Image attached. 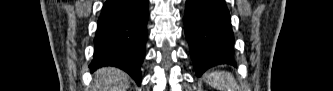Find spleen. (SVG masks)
Returning a JSON list of instances; mask_svg holds the SVG:
<instances>
[{
    "label": "spleen",
    "mask_w": 333,
    "mask_h": 91,
    "mask_svg": "<svg viewBox=\"0 0 333 91\" xmlns=\"http://www.w3.org/2000/svg\"><path fill=\"white\" fill-rule=\"evenodd\" d=\"M204 80L219 91H239L236 80L229 72H209L204 75Z\"/></svg>",
    "instance_id": "3e777b00"
}]
</instances>
